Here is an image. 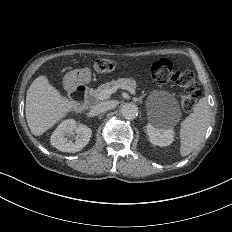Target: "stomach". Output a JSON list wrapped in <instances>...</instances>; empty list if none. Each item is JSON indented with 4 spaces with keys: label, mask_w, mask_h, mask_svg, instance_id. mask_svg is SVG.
<instances>
[{
    "label": "stomach",
    "mask_w": 232,
    "mask_h": 232,
    "mask_svg": "<svg viewBox=\"0 0 232 232\" xmlns=\"http://www.w3.org/2000/svg\"><path fill=\"white\" fill-rule=\"evenodd\" d=\"M90 69L89 68H84L82 70H80L78 78H83L85 77L86 80L85 81H89L90 80Z\"/></svg>",
    "instance_id": "obj_1"
}]
</instances>
